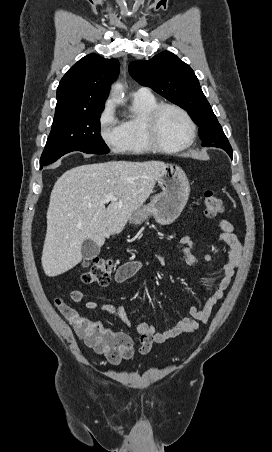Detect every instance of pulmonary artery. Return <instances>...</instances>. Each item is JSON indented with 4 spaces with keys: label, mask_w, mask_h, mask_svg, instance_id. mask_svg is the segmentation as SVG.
<instances>
[{
    "label": "pulmonary artery",
    "mask_w": 272,
    "mask_h": 452,
    "mask_svg": "<svg viewBox=\"0 0 272 452\" xmlns=\"http://www.w3.org/2000/svg\"><path fill=\"white\" fill-rule=\"evenodd\" d=\"M135 94H151L150 89L146 87L139 88Z\"/></svg>",
    "instance_id": "1"
}]
</instances>
